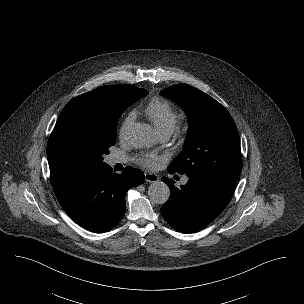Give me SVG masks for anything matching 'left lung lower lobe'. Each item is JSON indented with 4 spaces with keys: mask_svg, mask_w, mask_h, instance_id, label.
I'll return each mask as SVG.
<instances>
[{
    "mask_svg": "<svg viewBox=\"0 0 304 304\" xmlns=\"http://www.w3.org/2000/svg\"><path fill=\"white\" fill-rule=\"evenodd\" d=\"M169 173H174L168 169ZM171 194L162 206L163 218L177 231H198L221 214L229 203L235 186L207 178H189L186 185L177 188L174 181L163 177Z\"/></svg>",
    "mask_w": 304,
    "mask_h": 304,
    "instance_id": "0a47b994",
    "label": "left lung lower lobe"
}]
</instances>
